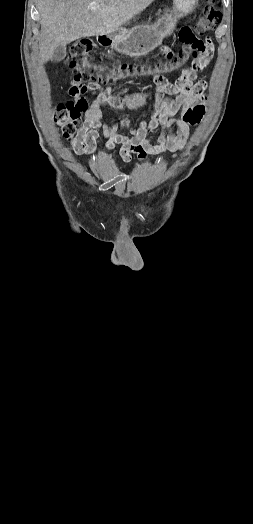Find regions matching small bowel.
I'll use <instances>...</instances> for the list:
<instances>
[{
	"mask_svg": "<svg viewBox=\"0 0 253 524\" xmlns=\"http://www.w3.org/2000/svg\"><path fill=\"white\" fill-rule=\"evenodd\" d=\"M178 37L181 44H189L187 58L192 62L191 68L180 66V76L174 83L172 77L163 73H152L150 80L153 83L151 91L139 92L131 95H116L111 89H97L96 97L90 102L85 122L80 133L71 141V151L79 155L92 158L96 151V140L104 141L107 151L121 145L120 156L124 162H130L132 156L143 161L147 155H157L166 150L176 153L181 151L190 136V123L186 117L188 111L199 106L205 99L204 82L196 80L197 71L203 69L211 58L216 46L209 35L201 38L189 24H182ZM203 41V42H201ZM167 60L173 62L175 55L167 48L164 49ZM174 83V84H173ZM90 86H84V93ZM94 90V89H93ZM76 95V92H73ZM174 95V99L166 98ZM153 97L154 104L151 116L142 120L138 127H133L128 117L117 122H102V106L108 105L114 109L128 108L136 113L138 108L146 105ZM177 117V115H179ZM160 128L157 144L150 143V136ZM128 131L131 137L125 132Z\"/></svg>",
	"mask_w": 253,
	"mask_h": 524,
	"instance_id": "1",
	"label": "small bowel"
}]
</instances>
